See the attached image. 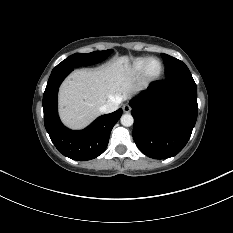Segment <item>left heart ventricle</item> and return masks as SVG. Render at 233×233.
<instances>
[{"mask_svg":"<svg viewBox=\"0 0 233 233\" xmlns=\"http://www.w3.org/2000/svg\"><path fill=\"white\" fill-rule=\"evenodd\" d=\"M149 73L154 75V74H157L160 70V64L158 61H152L149 65Z\"/></svg>","mask_w":233,"mask_h":233,"instance_id":"b2bd125f","label":"left heart ventricle"}]
</instances>
